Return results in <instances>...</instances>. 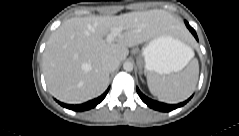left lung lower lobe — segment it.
<instances>
[{"label":"left lung lower lobe","instance_id":"obj_1","mask_svg":"<svg viewBox=\"0 0 239 136\" xmlns=\"http://www.w3.org/2000/svg\"><path fill=\"white\" fill-rule=\"evenodd\" d=\"M185 24L187 26V28L190 30V32L194 35V37L198 40V37H197V34L195 32V30L188 24L187 21H185ZM137 89V93L138 95L140 96L141 100L147 104L149 107L155 109V110H158V111H163V112H169V111H172L176 108H179L183 105H185L189 100H186L182 103H179V104H165V103H161V102H158V101H155V100H152L148 97H146L144 94L141 93V91Z\"/></svg>","mask_w":239,"mask_h":136}]
</instances>
